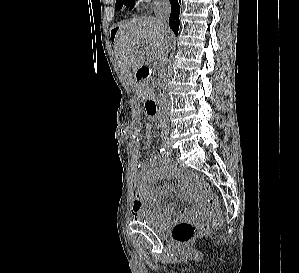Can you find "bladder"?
Here are the masks:
<instances>
[{
    "instance_id": "1",
    "label": "bladder",
    "mask_w": 299,
    "mask_h": 273,
    "mask_svg": "<svg viewBox=\"0 0 299 273\" xmlns=\"http://www.w3.org/2000/svg\"><path fill=\"white\" fill-rule=\"evenodd\" d=\"M172 217L162 218L152 214L150 211H143L138 215V221L151 230L161 233L164 232Z\"/></svg>"
}]
</instances>
